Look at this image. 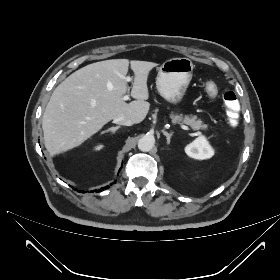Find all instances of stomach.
I'll return each mask as SVG.
<instances>
[{"mask_svg":"<svg viewBox=\"0 0 280 280\" xmlns=\"http://www.w3.org/2000/svg\"><path fill=\"white\" fill-rule=\"evenodd\" d=\"M194 65L189 58H171L159 68L156 87L159 94L174 105L181 102L192 79Z\"/></svg>","mask_w":280,"mask_h":280,"instance_id":"0dacf381","label":"stomach"}]
</instances>
